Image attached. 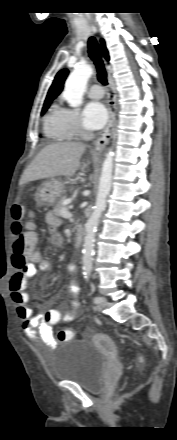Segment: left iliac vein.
Listing matches in <instances>:
<instances>
[{
	"label": "left iliac vein",
	"instance_id": "obj_1",
	"mask_svg": "<svg viewBox=\"0 0 177 440\" xmlns=\"http://www.w3.org/2000/svg\"><path fill=\"white\" fill-rule=\"evenodd\" d=\"M101 298H102V301L97 304V309L99 311H101L104 308V306L107 304V300L104 297H101Z\"/></svg>",
	"mask_w": 177,
	"mask_h": 440
}]
</instances>
